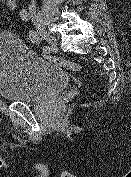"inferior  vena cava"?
<instances>
[{
    "mask_svg": "<svg viewBox=\"0 0 131 177\" xmlns=\"http://www.w3.org/2000/svg\"><path fill=\"white\" fill-rule=\"evenodd\" d=\"M31 4L34 6L35 5V0H31Z\"/></svg>",
    "mask_w": 131,
    "mask_h": 177,
    "instance_id": "1",
    "label": "inferior vena cava"
}]
</instances>
